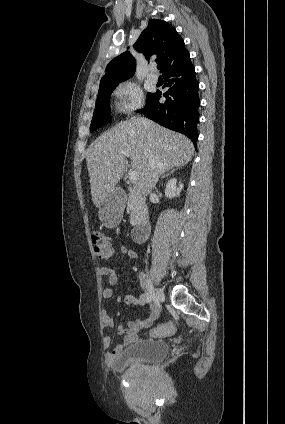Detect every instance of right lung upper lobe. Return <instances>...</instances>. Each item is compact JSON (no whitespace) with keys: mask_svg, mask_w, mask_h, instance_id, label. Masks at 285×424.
<instances>
[{"mask_svg":"<svg viewBox=\"0 0 285 424\" xmlns=\"http://www.w3.org/2000/svg\"><path fill=\"white\" fill-rule=\"evenodd\" d=\"M134 47L146 58L157 55V62L161 64L163 74L189 58L183 39L175 28L163 20H150ZM135 66V59L128 51L115 57L107 65L99 88L118 84L130 78L134 74Z\"/></svg>","mask_w":285,"mask_h":424,"instance_id":"cb5924a9","label":"right lung upper lobe"}]
</instances>
